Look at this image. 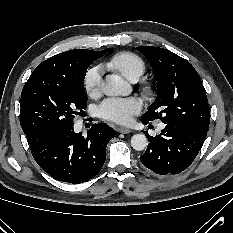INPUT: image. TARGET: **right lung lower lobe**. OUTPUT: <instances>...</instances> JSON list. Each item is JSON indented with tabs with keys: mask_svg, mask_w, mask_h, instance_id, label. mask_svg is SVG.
Instances as JSON below:
<instances>
[{
	"mask_svg": "<svg viewBox=\"0 0 233 233\" xmlns=\"http://www.w3.org/2000/svg\"><path fill=\"white\" fill-rule=\"evenodd\" d=\"M115 131L105 123L87 132L75 133L73 126L53 131L30 145L37 164L51 177L79 184L92 179L106 159V147Z\"/></svg>",
	"mask_w": 233,
	"mask_h": 233,
	"instance_id": "1",
	"label": "right lung lower lobe"
}]
</instances>
